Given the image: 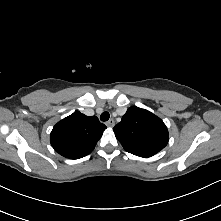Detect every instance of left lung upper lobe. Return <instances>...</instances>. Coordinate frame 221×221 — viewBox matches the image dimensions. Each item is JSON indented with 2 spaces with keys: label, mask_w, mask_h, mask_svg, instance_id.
I'll use <instances>...</instances> for the list:
<instances>
[{
  "label": "left lung upper lobe",
  "mask_w": 221,
  "mask_h": 221,
  "mask_svg": "<svg viewBox=\"0 0 221 221\" xmlns=\"http://www.w3.org/2000/svg\"><path fill=\"white\" fill-rule=\"evenodd\" d=\"M113 130L127 152L144 158L155 155L168 143V130L163 121L138 107L128 108Z\"/></svg>",
  "instance_id": "obj_1"
}]
</instances>
